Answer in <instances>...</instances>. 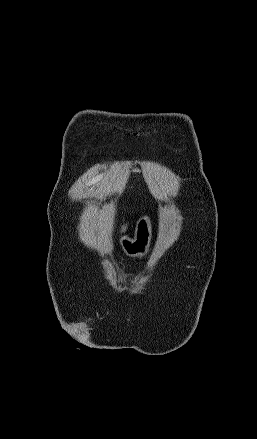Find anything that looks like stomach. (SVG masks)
Segmentation results:
<instances>
[{
	"instance_id": "stomach-1",
	"label": "stomach",
	"mask_w": 257,
	"mask_h": 439,
	"mask_svg": "<svg viewBox=\"0 0 257 439\" xmlns=\"http://www.w3.org/2000/svg\"><path fill=\"white\" fill-rule=\"evenodd\" d=\"M151 223L147 216L139 219L136 225L134 239L124 236L121 241V247L126 255L130 257H142L147 254L151 241Z\"/></svg>"
}]
</instances>
